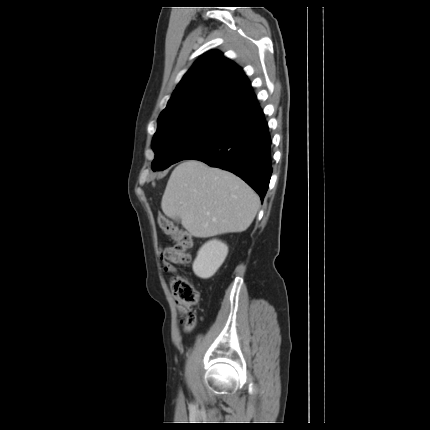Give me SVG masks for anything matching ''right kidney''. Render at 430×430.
I'll list each match as a JSON object with an SVG mask.
<instances>
[{
    "label": "right kidney",
    "instance_id": "right-kidney-1",
    "mask_svg": "<svg viewBox=\"0 0 430 430\" xmlns=\"http://www.w3.org/2000/svg\"><path fill=\"white\" fill-rule=\"evenodd\" d=\"M228 247L219 240H210L198 251L193 263L195 275L202 279L211 278L223 264Z\"/></svg>",
    "mask_w": 430,
    "mask_h": 430
}]
</instances>
